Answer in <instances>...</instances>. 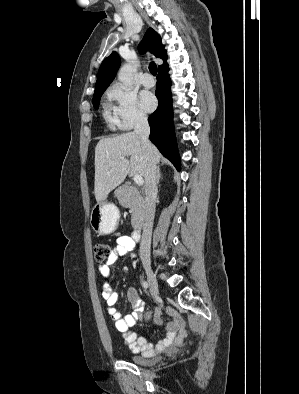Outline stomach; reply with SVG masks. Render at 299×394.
<instances>
[{"mask_svg":"<svg viewBox=\"0 0 299 394\" xmlns=\"http://www.w3.org/2000/svg\"><path fill=\"white\" fill-rule=\"evenodd\" d=\"M119 218L118 208L113 203L103 200L93 207L90 224L95 232L107 235L116 230Z\"/></svg>","mask_w":299,"mask_h":394,"instance_id":"1","label":"stomach"}]
</instances>
